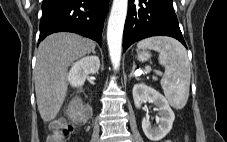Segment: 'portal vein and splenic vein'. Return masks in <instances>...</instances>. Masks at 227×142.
Returning <instances> with one entry per match:
<instances>
[{"instance_id": "obj_1", "label": "portal vein and splenic vein", "mask_w": 227, "mask_h": 142, "mask_svg": "<svg viewBox=\"0 0 227 142\" xmlns=\"http://www.w3.org/2000/svg\"><path fill=\"white\" fill-rule=\"evenodd\" d=\"M151 71V68L150 67H148V68H146V73H148V72H150ZM157 72V74H161L159 71H156ZM140 73H142V72H140Z\"/></svg>"}]
</instances>
